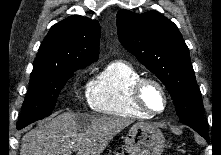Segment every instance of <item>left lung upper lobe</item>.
<instances>
[{
    "mask_svg": "<svg viewBox=\"0 0 221 155\" xmlns=\"http://www.w3.org/2000/svg\"><path fill=\"white\" fill-rule=\"evenodd\" d=\"M117 27L121 44L166 86L180 121L205 126L201 92L177 26L157 11L120 10Z\"/></svg>",
    "mask_w": 221,
    "mask_h": 155,
    "instance_id": "1",
    "label": "left lung upper lobe"
}]
</instances>
